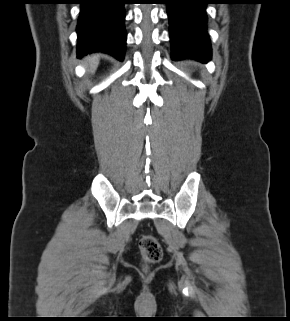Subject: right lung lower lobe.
Segmentation results:
<instances>
[{
  "label": "right lung lower lobe",
  "instance_id": "1",
  "mask_svg": "<svg viewBox=\"0 0 290 321\" xmlns=\"http://www.w3.org/2000/svg\"><path fill=\"white\" fill-rule=\"evenodd\" d=\"M77 25L79 58L92 52H105L124 58L126 32L124 0H81Z\"/></svg>",
  "mask_w": 290,
  "mask_h": 321
}]
</instances>
